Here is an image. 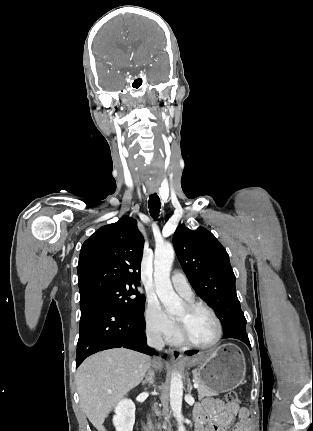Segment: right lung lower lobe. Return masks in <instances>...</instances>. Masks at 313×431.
<instances>
[{
    "instance_id": "right-lung-lower-lobe-1",
    "label": "right lung lower lobe",
    "mask_w": 313,
    "mask_h": 431,
    "mask_svg": "<svg viewBox=\"0 0 313 431\" xmlns=\"http://www.w3.org/2000/svg\"><path fill=\"white\" fill-rule=\"evenodd\" d=\"M144 313H130L112 304L95 302L81 309L76 368L88 356L102 350L125 347L148 355Z\"/></svg>"
}]
</instances>
